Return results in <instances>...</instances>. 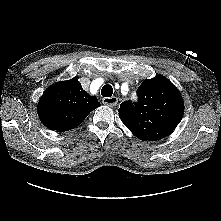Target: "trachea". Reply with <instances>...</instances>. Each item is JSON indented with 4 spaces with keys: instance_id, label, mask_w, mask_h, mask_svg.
<instances>
[{
    "instance_id": "3493384b",
    "label": "trachea",
    "mask_w": 221,
    "mask_h": 221,
    "mask_svg": "<svg viewBox=\"0 0 221 221\" xmlns=\"http://www.w3.org/2000/svg\"><path fill=\"white\" fill-rule=\"evenodd\" d=\"M113 94V88L111 85L107 84V85H104L101 89V95L103 97H111Z\"/></svg>"
}]
</instances>
